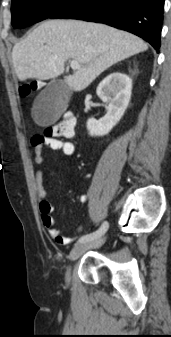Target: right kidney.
Returning <instances> with one entry per match:
<instances>
[{"instance_id":"1","label":"right kidney","mask_w":171,"mask_h":337,"mask_svg":"<svg viewBox=\"0 0 171 337\" xmlns=\"http://www.w3.org/2000/svg\"><path fill=\"white\" fill-rule=\"evenodd\" d=\"M132 80L124 73L114 72L108 75L97 87L99 98L108 104L106 115L100 120L91 118L87 129L91 136L107 135L120 121L129 104Z\"/></svg>"}]
</instances>
